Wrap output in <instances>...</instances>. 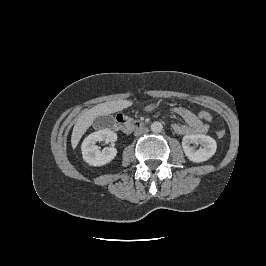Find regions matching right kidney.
I'll list each match as a JSON object with an SVG mask.
<instances>
[{
    "label": "right kidney",
    "instance_id": "1",
    "mask_svg": "<svg viewBox=\"0 0 266 266\" xmlns=\"http://www.w3.org/2000/svg\"><path fill=\"white\" fill-rule=\"evenodd\" d=\"M117 134L110 129L96 131L85 138L82 143V155L85 162L92 166H103L111 162L117 155L115 147H106L102 151L96 145L97 142H115Z\"/></svg>",
    "mask_w": 266,
    "mask_h": 266
}]
</instances>
